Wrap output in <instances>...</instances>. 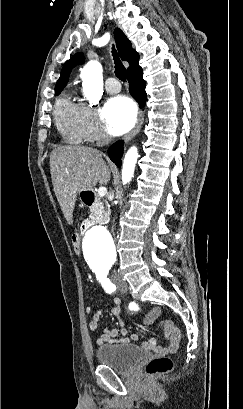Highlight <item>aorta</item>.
<instances>
[{
	"mask_svg": "<svg viewBox=\"0 0 243 409\" xmlns=\"http://www.w3.org/2000/svg\"><path fill=\"white\" fill-rule=\"evenodd\" d=\"M102 65L95 60L89 61L81 70L83 93L91 104H98L103 90ZM138 159V150L131 147L124 158L122 167V182L131 181ZM83 250L89 261L100 262L115 251L113 238L109 231L102 226L90 228L83 238Z\"/></svg>",
	"mask_w": 243,
	"mask_h": 409,
	"instance_id": "aorta-1",
	"label": "aorta"
}]
</instances>
